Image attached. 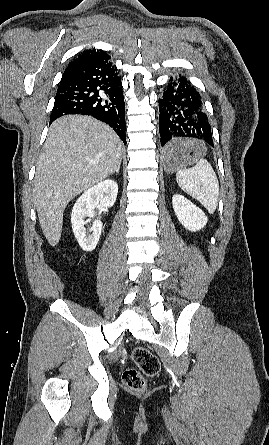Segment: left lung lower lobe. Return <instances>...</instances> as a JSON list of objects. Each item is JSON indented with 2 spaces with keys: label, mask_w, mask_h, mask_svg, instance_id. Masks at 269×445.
<instances>
[{
  "label": "left lung lower lobe",
  "mask_w": 269,
  "mask_h": 445,
  "mask_svg": "<svg viewBox=\"0 0 269 445\" xmlns=\"http://www.w3.org/2000/svg\"><path fill=\"white\" fill-rule=\"evenodd\" d=\"M159 131L163 153H176L183 139L213 145L204 102L188 80L171 77L159 99Z\"/></svg>",
  "instance_id": "left-lung-lower-lobe-1"
}]
</instances>
